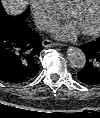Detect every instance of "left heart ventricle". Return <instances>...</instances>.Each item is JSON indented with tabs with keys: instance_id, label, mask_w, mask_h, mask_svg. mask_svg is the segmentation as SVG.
Instances as JSON below:
<instances>
[{
	"instance_id": "b2bd125f",
	"label": "left heart ventricle",
	"mask_w": 100,
	"mask_h": 118,
	"mask_svg": "<svg viewBox=\"0 0 100 118\" xmlns=\"http://www.w3.org/2000/svg\"><path fill=\"white\" fill-rule=\"evenodd\" d=\"M100 0H86L84 4L70 15V21L81 31L92 29L98 18Z\"/></svg>"
}]
</instances>
